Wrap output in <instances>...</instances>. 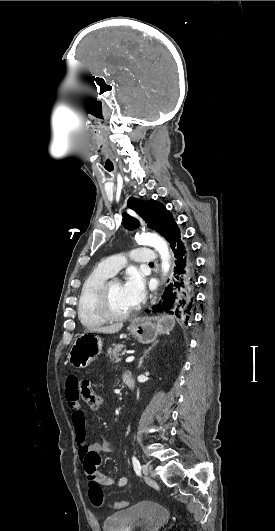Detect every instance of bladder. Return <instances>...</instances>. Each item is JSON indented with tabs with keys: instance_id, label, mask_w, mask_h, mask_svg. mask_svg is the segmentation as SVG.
I'll list each match as a JSON object with an SVG mask.
<instances>
[{
	"instance_id": "1",
	"label": "bladder",
	"mask_w": 275,
	"mask_h": 531,
	"mask_svg": "<svg viewBox=\"0 0 275 531\" xmlns=\"http://www.w3.org/2000/svg\"><path fill=\"white\" fill-rule=\"evenodd\" d=\"M170 517L163 504L139 501L132 507L105 516L103 531H159L169 523Z\"/></svg>"
}]
</instances>
